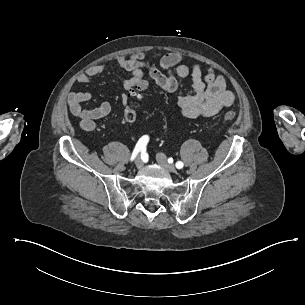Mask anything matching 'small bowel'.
Masks as SVG:
<instances>
[{
    "label": "small bowel",
    "mask_w": 305,
    "mask_h": 305,
    "mask_svg": "<svg viewBox=\"0 0 305 305\" xmlns=\"http://www.w3.org/2000/svg\"><path fill=\"white\" fill-rule=\"evenodd\" d=\"M182 60L183 56L180 53L174 52L164 55L160 60V67L165 71L164 73L148 63L143 52L129 57H116L115 63L130 72V77L122 82L123 88L127 91L120 98L124 109L135 84L146 80L144 71H147L151 79L166 92L177 90L178 78L191 77L193 92L177 98V104L182 114L187 118H210L221 109L234 103L235 96L227 89L223 76L216 74L211 67L204 68L199 64L189 67L183 64ZM108 70L109 66L105 64L89 66L78 81L82 84H88L92 77L106 73ZM91 97V93L86 91H73L68 95V106L71 114L80 119L81 129L88 132L94 131L97 128V121L108 116L112 111V105L108 101L102 102L95 108H84L83 103L90 100Z\"/></svg>",
    "instance_id": "small-bowel-1"
}]
</instances>
